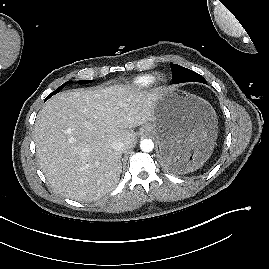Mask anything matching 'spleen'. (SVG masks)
<instances>
[{
    "label": "spleen",
    "mask_w": 269,
    "mask_h": 269,
    "mask_svg": "<svg viewBox=\"0 0 269 269\" xmlns=\"http://www.w3.org/2000/svg\"><path fill=\"white\" fill-rule=\"evenodd\" d=\"M201 165H203V163H201ZM196 168H198V166ZM190 170H193V168H191Z\"/></svg>",
    "instance_id": "1"
}]
</instances>
